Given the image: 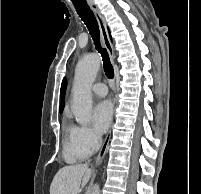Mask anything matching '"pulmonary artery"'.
Returning <instances> with one entry per match:
<instances>
[{
	"label": "pulmonary artery",
	"instance_id": "e3ab8cb5",
	"mask_svg": "<svg viewBox=\"0 0 201 194\" xmlns=\"http://www.w3.org/2000/svg\"><path fill=\"white\" fill-rule=\"evenodd\" d=\"M91 91L94 95L99 96V97H104L108 93L107 86L104 83H95Z\"/></svg>",
	"mask_w": 201,
	"mask_h": 194
}]
</instances>
